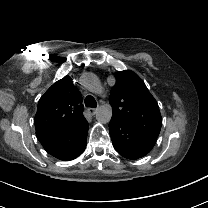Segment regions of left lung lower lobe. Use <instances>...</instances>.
I'll list each match as a JSON object with an SVG mask.
<instances>
[{
  "mask_svg": "<svg viewBox=\"0 0 208 208\" xmlns=\"http://www.w3.org/2000/svg\"><path fill=\"white\" fill-rule=\"evenodd\" d=\"M109 132L115 150L124 158L135 160L147 155L155 144L130 124L112 117Z\"/></svg>",
  "mask_w": 208,
  "mask_h": 208,
  "instance_id": "obj_1",
  "label": "left lung lower lobe"
}]
</instances>
